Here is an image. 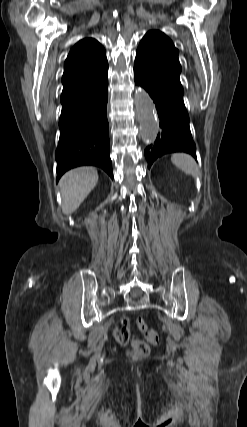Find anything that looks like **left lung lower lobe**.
Here are the masks:
<instances>
[{"label":"left lung lower lobe","instance_id":"1","mask_svg":"<svg viewBox=\"0 0 247 427\" xmlns=\"http://www.w3.org/2000/svg\"><path fill=\"white\" fill-rule=\"evenodd\" d=\"M134 79L153 99L160 119L156 141L145 149L148 168L158 157L172 152H185L197 160L183 90L170 85L138 60L134 63Z\"/></svg>","mask_w":247,"mask_h":427}]
</instances>
